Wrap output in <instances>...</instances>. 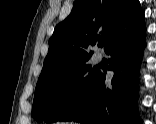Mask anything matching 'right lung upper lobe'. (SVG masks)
<instances>
[{
    "label": "right lung upper lobe",
    "instance_id": "obj_1",
    "mask_svg": "<svg viewBox=\"0 0 156 124\" xmlns=\"http://www.w3.org/2000/svg\"><path fill=\"white\" fill-rule=\"evenodd\" d=\"M143 26L144 14L138 0H77L49 39L39 79L87 62L96 39H105L106 51L123 34Z\"/></svg>",
    "mask_w": 156,
    "mask_h": 124
}]
</instances>
